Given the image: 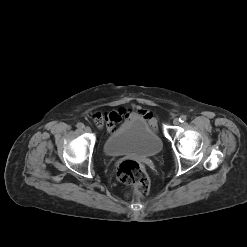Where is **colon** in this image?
<instances>
[{
    "label": "colon",
    "mask_w": 247,
    "mask_h": 247,
    "mask_svg": "<svg viewBox=\"0 0 247 247\" xmlns=\"http://www.w3.org/2000/svg\"><path fill=\"white\" fill-rule=\"evenodd\" d=\"M96 122L102 123L101 116L95 118ZM118 179L133 186L135 193L146 196L150 189V181L144 166L136 160L126 159L121 161L117 166Z\"/></svg>",
    "instance_id": "obj_1"
}]
</instances>
